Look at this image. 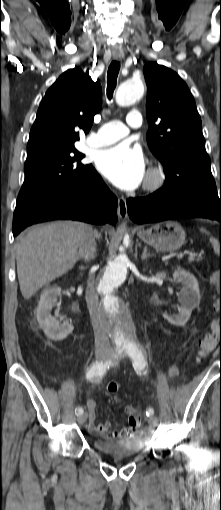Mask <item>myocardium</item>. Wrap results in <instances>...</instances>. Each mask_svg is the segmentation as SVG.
Returning a JSON list of instances; mask_svg holds the SVG:
<instances>
[{
	"instance_id": "1",
	"label": "myocardium",
	"mask_w": 221,
	"mask_h": 510,
	"mask_svg": "<svg viewBox=\"0 0 221 510\" xmlns=\"http://www.w3.org/2000/svg\"><path fill=\"white\" fill-rule=\"evenodd\" d=\"M166 182V173L162 166L155 165L149 168L145 181L144 190L149 193H154L160 190Z\"/></svg>"
}]
</instances>
